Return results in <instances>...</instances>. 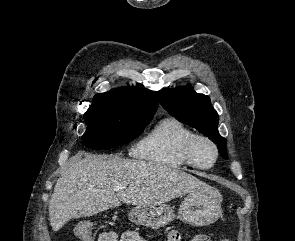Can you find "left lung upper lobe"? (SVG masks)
<instances>
[{
    "mask_svg": "<svg viewBox=\"0 0 295 241\" xmlns=\"http://www.w3.org/2000/svg\"><path fill=\"white\" fill-rule=\"evenodd\" d=\"M163 108L179 121L188 124L217 144L223 158H227L226 139L218 133L219 117L211 106L210 98L196 93L191 87L158 91Z\"/></svg>",
    "mask_w": 295,
    "mask_h": 241,
    "instance_id": "5c2ea615",
    "label": "left lung upper lobe"
}]
</instances>
